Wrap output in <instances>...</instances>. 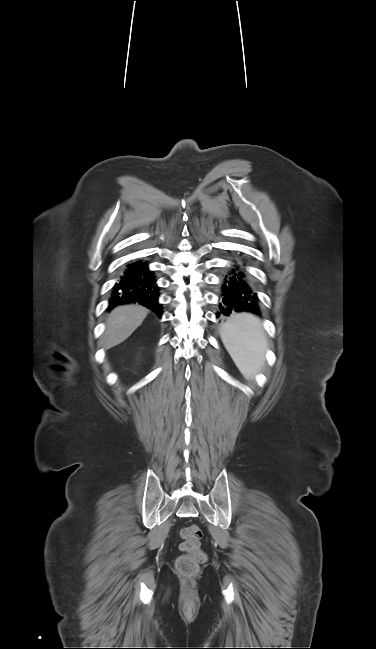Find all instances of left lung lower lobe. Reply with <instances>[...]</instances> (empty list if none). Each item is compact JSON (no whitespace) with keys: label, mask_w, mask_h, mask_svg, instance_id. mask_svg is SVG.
Masks as SVG:
<instances>
[{"label":"left lung lower lobe","mask_w":376,"mask_h":649,"mask_svg":"<svg viewBox=\"0 0 376 649\" xmlns=\"http://www.w3.org/2000/svg\"><path fill=\"white\" fill-rule=\"evenodd\" d=\"M222 289L224 297L219 308L223 315H229L232 311L261 314L257 295L250 289L245 273L238 266L229 269L223 276Z\"/></svg>","instance_id":"left-lung-lower-lobe-1"}]
</instances>
